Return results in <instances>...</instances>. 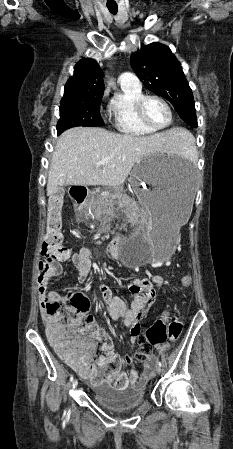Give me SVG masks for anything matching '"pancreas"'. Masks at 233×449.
Returning <instances> with one entry per match:
<instances>
[{
    "label": "pancreas",
    "instance_id": "1",
    "mask_svg": "<svg viewBox=\"0 0 233 449\" xmlns=\"http://www.w3.org/2000/svg\"><path fill=\"white\" fill-rule=\"evenodd\" d=\"M111 198L114 196L108 195L99 198V202L97 205L99 206V210H95L94 214L97 213L103 214L105 216H114V207ZM94 210V209H93ZM147 214L142 212L139 209H134L132 213V220L135 222H144L146 220Z\"/></svg>",
    "mask_w": 233,
    "mask_h": 449
}]
</instances>
